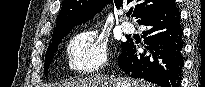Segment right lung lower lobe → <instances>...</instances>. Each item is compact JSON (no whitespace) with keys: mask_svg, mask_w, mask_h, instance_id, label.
Instances as JSON below:
<instances>
[{"mask_svg":"<svg viewBox=\"0 0 205 87\" xmlns=\"http://www.w3.org/2000/svg\"><path fill=\"white\" fill-rule=\"evenodd\" d=\"M138 23L149 28L142 37L150 53L137 54L135 43L127 40L118 57L120 69L130 77L144 78L160 87H179L184 64L183 29L175 0H168Z\"/></svg>","mask_w":205,"mask_h":87,"instance_id":"98d812e1","label":"right lung lower lobe"}]
</instances>
